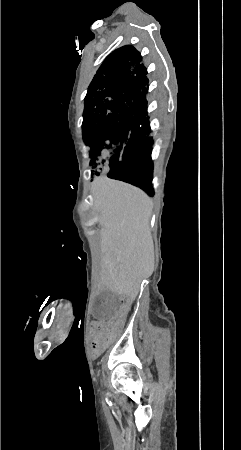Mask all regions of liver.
Returning <instances> with one entry per match:
<instances>
[{"mask_svg": "<svg viewBox=\"0 0 241 450\" xmlns=\"http://www.w3.org/2000/svg\"><path fill=\"white\" fill-rule=\"evenodd\" d=\"M91 192L101 214V280L111 292L135 300L142 280L154 272L153 202L140 188L107 176L94 178Z\"/></svg>", "mask_w": 241, "mask_h": 450, "instance_id": "liver-1", "label": "liver"}]
</instances>
